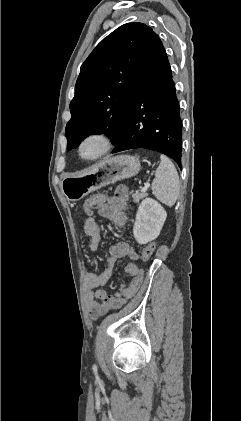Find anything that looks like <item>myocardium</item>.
<instances>
[{"label": "myocardium", "instance_id": "f54148a6", "mask_svg": "<svg viewBox=\"0 0 241 421\" xmlns=\"http://www.w3.org/2000/svg\"><path fill=\"white\" fill-rule=\"evenodd\" d=\"M89 141H97L99 143V149L92 155H86L83 152L85 144ZM113 146L112 135L104 129H95L86 133L79 141L77 152L80 158L86 161H95L108 153Z\"/></svg>", "mask_w": 241, "mask_h": 421}]
</instances>
